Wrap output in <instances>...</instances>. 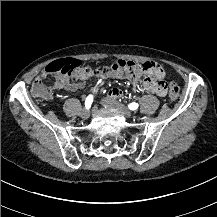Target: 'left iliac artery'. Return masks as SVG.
I'll list each match as a JSON object with an SVG mask.
<instances>
[{"label":"left iliac artery","mask_w":217,"mask_h":217,"mask_svg":"<svg viewBox=\"0 0 217 217\" xmlns=\"http://www.w3.org/2000/svg\"><path fill=\"white\" fill-rule=\"evenodd\" d=\"M138 103H135V102H133V103H130L129 105H128V108L130 109V110H136L137 108H138Z\"/></svg>","instance_id":"44dca946"}]
</instances>
